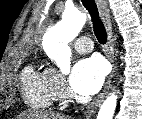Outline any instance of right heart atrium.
Returning a JSON list of instances; mask_svg holds the SVG:
<instances>
[{
  "instance_id": "right-heart-atrium-1",
  "label": "right heart atrium",
  "mask_w": 142,
  "mask_h": 119,
  "mask_svg": "<svg viewBox=\"0 0 142 119\" xmlns=\"http://www.w3.org/2000/svg\"><path fill=\"white\" fill-rule=\"evenodd\" d=\"M52 79L54 95L56 100H63L68 96V90L64 77L54 69L47 70Z\"/></svg>"
}]
</instances>
